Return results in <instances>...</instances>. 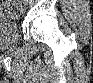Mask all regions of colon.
Returning <instances> with one entry per match:
<instances>
[{
  "label": "colon",
  "mask_w": 93,
  "mask_h": 83,
  "mask_svg": "<svg viewBox=\"0 0 93 83\" xmlns=\"http://www.w3.org/2000/svg\"><path fill=\"white\" fill-rule=\"evenodd\" d=\"M15 12L16 9H14L12 6L11 7L4 6L1 9V13H0L1 24L9 25L13 21L14 18L13 16Z\"/></svg>",
  "instance_id": "5ec220e1"
}]
</instances>
